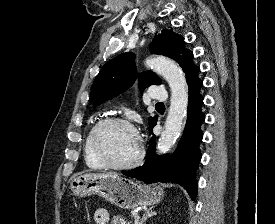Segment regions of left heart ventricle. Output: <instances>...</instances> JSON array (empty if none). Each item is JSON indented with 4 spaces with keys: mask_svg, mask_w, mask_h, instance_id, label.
Here are the masks:
<instances>
[{
    "mask_svg": "<svg viewBox=\"0 0 275 224\" xmlns=\"http://www.w3.org/2000/svg\"><path fill=\"white\" fill-rule=\"evenodd\" d=\"M101 146L114 163L131 161L138 151V140L134 131L121 124L106 128L101 136Z\"/></svg>",
    "mask_w": 275,
    "mask_h": 224,
    "instance_id": "left-heart-ventricle-1",
    "label": "left heart ventricle"
}]
</instances>
